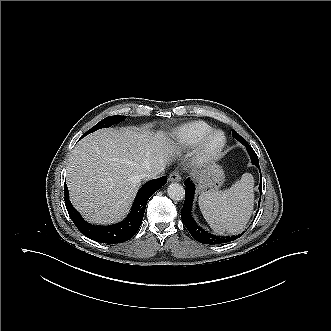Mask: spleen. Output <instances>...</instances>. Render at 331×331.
I'll return each mask as SVG.
<instances>
[{"label":"spleen","mask_w":331,"mask_h":331,"mask_svg":"<svg viewBox=\"0 0 331 331\" xmlns=\"http://www.w3.org/2000/svg\"><path fill=\"white\" fill-rule=\"evenodd\" d=\"M253 187V176L244 173L229 189L200 194V210L216 233L236 234L244 230L253 210Z\"/></svg>","instance_id":"spleen-1"}]
</instances>
